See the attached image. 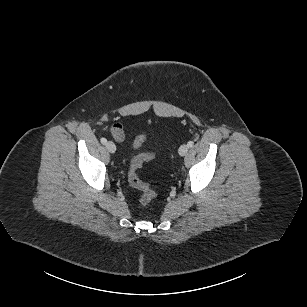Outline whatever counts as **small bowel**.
<instances>
[{"mask_svg":"<svg viewBox=\"0 0 307 307\" xmlns=\"http://www.w3.org/2000/svg\"><path fill=\"white\" fill-rule=\"evenodd\" d=\"M110 133L116 141L121 142V141L124 140L125 134H124V130H123V128L120 124H118V123L113 124L112 127L110 128ZM144 140H145V134L144 133L138 135L137 138L134 141V147L135 148L140 147L141 144L144 142Z\"/></svg>","mask_w":307,"mask_h":307,"instance_id":"1","label":"small bowel"}]
</instances>
